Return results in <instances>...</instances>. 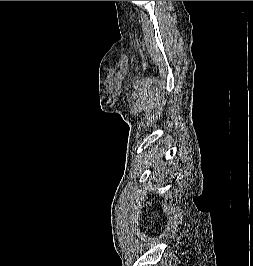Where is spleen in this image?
I'll use <instances>...</instances> for the list:
<instances>
[{"instance_id":"spleen-1","label":"spleen","mask_w":253,"mask_h":266,"mask_svg":"<svg viewBox=\"0 0 253 266\" xmlns=\"http://www.w3.org/2000/svg\"><path fill=\"white\" fill-rule=\"evenodd\" d=\"M148 232H150L152 235H159L161 232H164V229H161L159 226H152L150 229H148Z\"/></svg>"}]
</instances>
